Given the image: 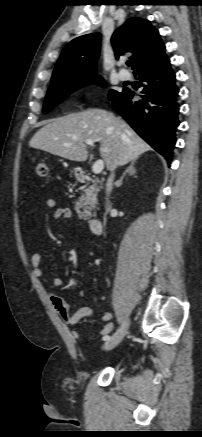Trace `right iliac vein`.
<instances>
[{"label": "right iliac vein", "mask_w": 202, "mask_h": 437, "mask_svg": "<svg viewBox=\"0 0 202 437\" xmlns=\"http://www.w3.org/2000/svg\"><path fill=\"white\" fill-rule=\"evenodd\" d=\"M129 327V321H125L122 326L110 337V339L106 340L104 344V350H112L115 348L125 337L127 330Z\"/></svg>", "instance_id": "obj_1"}]
</instances>
